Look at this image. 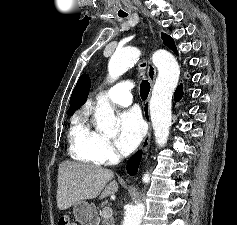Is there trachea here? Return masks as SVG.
Segmentation results:
<instances>
[{
  "instance_id": "obj_1",
  "label": "trachea",
  "mask_w": 237,
  "mask_h": 225,
  "mask_svg": "<svg viewBox=\"0 0 237 225\" xmlns=\"http://www.w3.org/2000/svg\"><path fill=\"white\" fill-rule=\"evenodd\" d=\"M141 66L144 67L145 64H142ZM149 91H150V84L148 83V81L143 80L140 85V95L143 100H146Z\"/></svg>"
}]
</instances>
